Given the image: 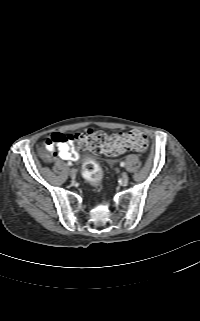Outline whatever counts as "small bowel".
I'll return each mask as SVG.
<instances>
[{
  "instance_id": "c3829d8e",
  "label": "small bowel",
  "mask_w": 200,
  "mask_h": 321,
  "mask_svg": "<svg viewBox=\"0 0 200 321\" xmlns=\"http://www.w3.org/2000/svg\"><path fill=\"white\" fill-rule=\"evenodd\" d=\"M43 157L52 161L56 158L63 160H76L78 152L72 135L63 133H53L40 149Z\"/></svg>"
}]
</instances>
